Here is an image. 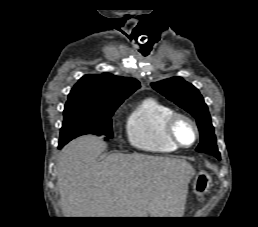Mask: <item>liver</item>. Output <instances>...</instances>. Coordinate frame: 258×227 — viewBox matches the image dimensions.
Returning a JSON list of instances; mask_svg holds the SVG:
<instances>
[{"instance_id":"1","label":"liver","mask_w":258,"mask_h":227,"mask_svg":"<svg viewBox=\"0 0 258 227\" xmlns=\"http://www.w3.org/2000/svg\"><path fill=\"white\" fill-rule=\"evenodd\" d=\"M92 135L67 144L57 162V187L65 217H182L195 175L182 159L110 154Z\"/></svg>"}]
</instances>
